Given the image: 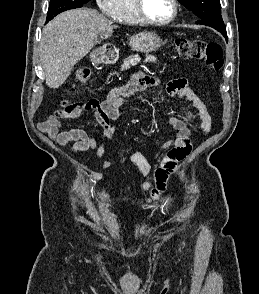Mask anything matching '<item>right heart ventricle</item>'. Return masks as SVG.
<instances>
[{
	"label": "right heart ventricle",
	"mask_w": 259,
	"mask_h": 294,
	"mask_svg": "<svg viewBox=\"0 0 259 294\" xmlns=\"http://www.w3.org/2000/svg\"><path fill=\"white\" fill-rule=\"evenodd\" d=\"M114 18L125 24H139L141 23L136 15L133 0H120L118 10Z\"/></svg>",
	"instance_id": "1"
}]
</instances>
